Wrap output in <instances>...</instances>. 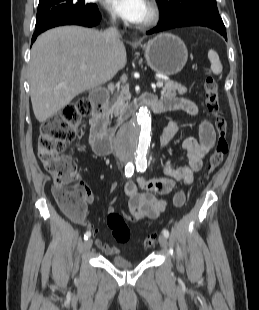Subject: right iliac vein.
<instances>
[{
  "label": "right iliac vein",
  "instance_id": "obj_1",
  "mask_svg": "<svg viewBox=\"0 0 259 310\" xmlns=\"http://www.w3.org/2000/svg\"><path fill=\"white\" fill-rule=\"evenodd\" d=\"M92 243H93L92 239L90 238L87 239L84 243L85 250H90V248L92 247Z\"/></svg>",
  "mask_w": 259,
  "mask_h": 310
}]
</instances>
